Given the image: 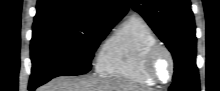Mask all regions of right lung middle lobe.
I'll use <instances>...</instances> for the list:
<instances>
[{"instance_id": "obj_1", "label": "right lung middle lobe", "mask_w": 220, "mask_h": 91, "mask_svg": "<svg viewBox=\"0 0 220 91\" xmlns=\"http://www.w3.org/2000/svg\"><path fill=\"white\" fill-rule=\"evenodd\" d=\"M113 27L66 21L33 24L30 83L87 73L95 50Z\"/></svg>"}]
</instances>
